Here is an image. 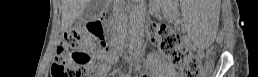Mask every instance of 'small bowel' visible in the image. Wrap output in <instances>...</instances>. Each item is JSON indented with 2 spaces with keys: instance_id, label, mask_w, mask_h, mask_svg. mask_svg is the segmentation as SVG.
I'll list each match as a JSON object with an SVG mask.
<instances>
[{
  "instance_id": "small-bowel-1",
  "label": "small bowel",
  "mask_w": 258,
  "mask_h": 77,
  "mask_svg": "<svg viewBox=\"0 0 258 77\" xmlns=\"http://www.w3.org/2000/svg\"><path fill=\"white\" fill-rule=\"evenodd\" d=\"M95 60L98 62V66L95 68L94 75L98 77H103L109 70L110 65L114 64L117 60V55L115 53L106 51H97L95 53ZM152 68L163 73L166 76L173 75L175 72L166 66L162 71V65L156 59H151Z\"/></svg>"
}]
</instances>
